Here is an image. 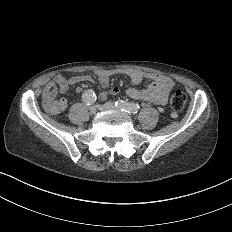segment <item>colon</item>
Wrapping results in <instances>:
<instances>
[{
  "label": "colon",
  "instance_id": "obj_1",
  "mask_svg": "<svg viewBox=\"0 0 232 232\" xmlns=\"http://www.w3.org/2000/svg\"><path fill=\"white\" fill-rule=\"evenodd\" d=\"M171 113H182V108H186L185 94L179 88H173L169 92ZM48 105L49 113H64L66 106L61 105L60 96H47L43 99V104H54Z\"/></svg>",
  "mask_w": 232,
  "mask_h": 232
}]
</instances>
